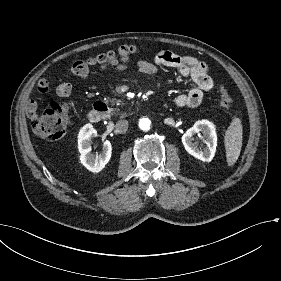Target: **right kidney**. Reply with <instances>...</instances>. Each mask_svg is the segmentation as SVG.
<instances>
[{
    "instance_id": "obj_1",
    "label": "right kidney",
    "mask_w": 281,
    "mask_h": 281,
    "mask_svg": "<svg viewBox=\"0 0 281 281\" xmlns=\"http://www.w3.org/2000/svg\"><path fill=\"white\" fill-rule=\"evenodd\" d=\"M96 136L97 130L91 124L85 125L79 133L78 149L81 163L91 172L99 173L109 162L112 155V147L110 141L106 140L99 157L92 153L93 139Z\"/></svg>"
}]
</instances>
